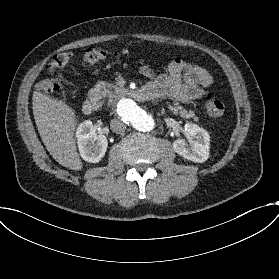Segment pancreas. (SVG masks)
Returning <instances> with one entry per match:
<instances>
[{
	"label": "pancreas",
	"mask_w": 279,
	"mask_h": 279,
	"mask_svg": "<svg viewBox=\"0 0 279 279\" xmlns=\"http://www.w3.org/2000/svg\"><path fill=\"white\" fill-rule=\"evenodd\" d=\"M96 94L100 98H105V97H110L111 96V91L114 89V85L101 81L97 85L94 86ZM169 106V110L173 112L174 114H179L182 118L189 119L194 117V112L192 110L187 111L183 110L182 106L178 102H174L173 105H170V103H166Z\"/></svg>",
	"instance_id": "cf45deb5"
}]
</instances>
